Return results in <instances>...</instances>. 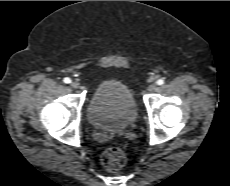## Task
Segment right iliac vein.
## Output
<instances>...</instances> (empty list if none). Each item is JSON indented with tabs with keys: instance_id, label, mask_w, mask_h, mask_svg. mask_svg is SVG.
<instances>
[{
	"instance_id": "1",
	"label": "right iliac vein",
	"mask_w": 230,
	"mask_h": 186,
	"mask_svg": "<svg viewBox=\"0 0 230 186\" xmlns=\"http://www.w3.org/2000/svg\"><path fill=\"white\" fill-rule=\"evenodd\" d=\"M71 86H72V88H74V89L80 88V84H79L78 82H76V81L71 82Z\"/></svg>"
}]
</instances>
